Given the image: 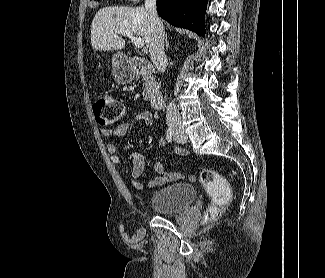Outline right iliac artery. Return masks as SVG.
Wrapping results in <instances>:
<instances>
[{"mask_svg": "<svg viewBox=\"0 0 325 278\" xmlns=\"http://www.w3.org/2000/svg\"><path fill=\"white\" fill-rule=\"evenodd\" d=\"M173 134H174V132H173L172 128H168V130L166 132V139L168 142H172Z\"/></svg>", "mask_w": 325, "mask_h": 278, "instance_id": "obj_1", "label": "right iliac artery"}]
</instances>
